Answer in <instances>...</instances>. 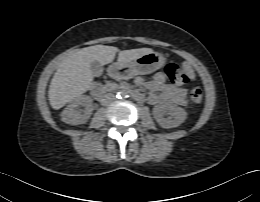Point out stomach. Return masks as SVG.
Listing matches in <instances>:
<instances>
[{
  "mask_svg": "<svg viewBox=\"0 0 260 202\" xmlns=\"http://www.w3.org/2000/svg\"><path fill=\"white\" fill-rule=\"evenodd\" d=\"M165 58L157 53L151 52L128 63H116L113 66V76L119 79H129L138 74H149L161 68Z\"/></svg>",
  "mask_w": 260,
  "mask_h": 202,
  "instance_id": "stomach-1",
  "label": "stomach"
}]
</instances>
